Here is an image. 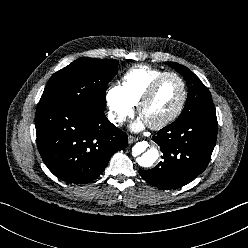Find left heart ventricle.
Returning a JSON list of instances; mask_svg holds the SVG:
<instances>
[{"instance_id": "left-heart-ventricle-1", "label": "left heart ventricle", "mask_w": 248, "mask_h": 248, "mask_svg": "<svg viewBox=\"0 0 248 248\" xmlns=\"http://www.w3.org/2000/svg\"><path fill=\"white\" fill-rule=\"evenodd\" d=\"M182 87L174 76L166 77L159 85L154 97L142 112L147 123H155L171 114L179 105Z\"/></svg>"}]
</instances>
